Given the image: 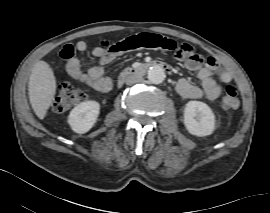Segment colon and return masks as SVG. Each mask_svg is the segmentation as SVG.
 Instances as JSON below:
<instances>
[{"label":"colon","mask_w":270,"mask_h":213,"mask_svg":"<svg viewBox=\"0 0 270 213\" xmlns=\"http://www.w3.org/2000/svg\"><path fill=\"white\" fill-rule=\"evenodd\" d=\"M191 46L188 43L177 44L174 40L149 33H141L130 35L122 38L115 46L108 47V51L118 50H135V49H150L161 53L171 49H177L176 57L183 58V54L190 50ZM191 60L196 63H208L209 59L199 53H192ZM87 98L86 92L71 82H64L58 85L56 90V98L53 103V109L56 112H64L85 101ZM220 105L223 109L230 110L238 106V93L234 85H226L222 89L220 96Z\"/></svg>","instance_id":"5ec220e1"}]
</instances>
